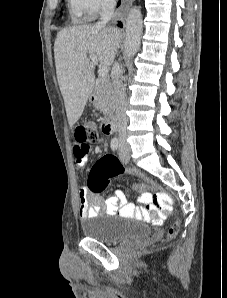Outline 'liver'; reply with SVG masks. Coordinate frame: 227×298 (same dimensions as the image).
Instances as JSON below:
<instances>
[{
    "label": "liver",
    "instance_id": "1",
    "mask_svg": "<svg viewBox=\"0 0 227 298\" xmlns=\"http://www.w3.org/2000/svg\"><path fill=\"white\" fill-rule=\"evenodd\" d=\"M121 37L117 28L96 24L58 32L54 43L56 74L70 127L81 117L94 88V64L88 54L95 55L102 67L111 66Z\"/></svg>",
    "mask_w": 227,
    "mask_h": 298
}]
</instances>
